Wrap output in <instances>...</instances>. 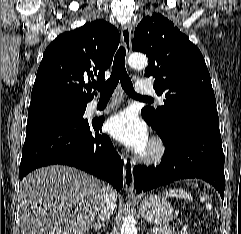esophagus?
<instances>
[{"mask_svg":"<svg viewBox=\"0 0 241 234\" xmlns=\"http://www.w3.org/2000/svg\"><path fill=\"white\" fill-rule=\"evenodd\" d=\"M121 39L123 46L129 54L131 52L132 41H131V28L129 25H124L121 30ZM124 190L128 195H134V175L133 165L127 160L124 161Z\"/></svg>","mask_w":241,"mask_h":234,"instance_id":"obj_1","label":"esophagus"}]
</instances>
